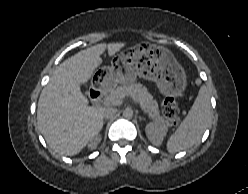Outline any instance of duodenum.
<instances>
[{
	"label": "duodenum",
	"mask_w": 248,
	"mask_h": 194,
	"mask_svg": "<svg viewBox=\"0 0 248 194\" xmlns=\"http://www.w3.org/2000/svg\"><path fill=\"white\" fill-rule=\"evenodd\" d=\"M89 99L92 103H98L103 96V88L101 85H94L88 92Z\"/></svg>",
	"instance_id": "duodenum-1"
}]
</instances>
